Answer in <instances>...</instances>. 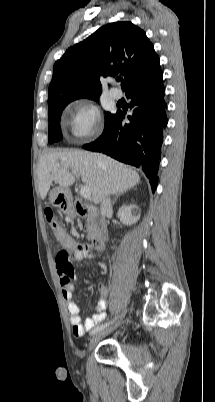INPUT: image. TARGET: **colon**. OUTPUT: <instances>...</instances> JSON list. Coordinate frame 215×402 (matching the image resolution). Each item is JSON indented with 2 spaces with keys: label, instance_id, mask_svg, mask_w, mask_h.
I'll return each instance as SVG.
<instances>
[{
  "label": "colon",
  "instance_id": "1",
  "mask_svg": "<svg viewBox=\"0 0 215 402\" xmlns=\"http://www.w3.org/2000/svg\"><path fill=\"white\" fill-rule=\"evenodd\" d=\"M45 216L56 236V242L61 244V248L63 250H72L74 248V243L76 242V237L74 235H65V233L58 226L51 208L45 209ZM72 256V253L64 252L61 255V259L63 261H69ZM63 269L65 272H70L72 270V266L67 264L63 267Z\"/></svg>",
  "mask_w": 215,
  "mask_h": 402
}]
</instances>
